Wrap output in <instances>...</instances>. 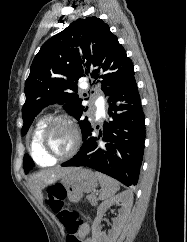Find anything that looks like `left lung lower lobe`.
I'll return each instance as SVG.
<instances>
[{"label": "left lung lower lobe", "mask_w": 187, "mask_h": 242, "mask_svg": "<svg viewBox=\"0 0 187 242\" xmlns=\"http://www.w3.org/2000/svg\"><path fill=\"white\" fill-rule=\"evenodd\" d=\"M108 101L109 122H104L103 131L97 137L91 128L78 153L61 166L94 169L126 186L136 185L144 153L145 117L134 76Z\"/></svg>", "instance_id": "left-lung-lower-lobe-1"}]
</instances>
